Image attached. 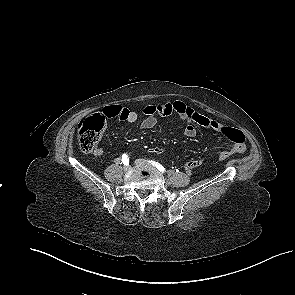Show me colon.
<instances>
[{
  "label": "colon",
  "mask_w": 295,
  "mask_h": 295,
  "mask_svg": "<svg viewBox=\"0 0 295 295\" xmlns=\"http://www.w3.org/2000/svg\"><path fill=\"white\" fill-rule=\"evenodd\" d=\"M105 126L104 117L95 114L82 120L78 127V143L82 151L91 152L96 147ZM225 136L233 143L231 151H224L219 154L221 160H226L235 154H241L245 150L244 134L234 128L225 129ZM154 153H160V148H152Z\"/></svg>",
  "instance_id": "5ec220e1"
}]
</instances>
